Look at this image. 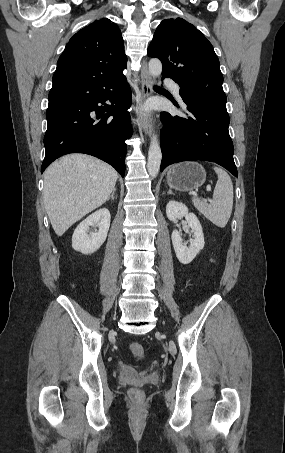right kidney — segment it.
<instances>
[{
	"instance_id": "1",
	"label": "right kidney",
	"mask_w": 285,
	"mask_h": 453,
	"mask_svg": "<svg viewBox=\"0 0 285 453\" xmlns=\"http://www.w3.org/2000/svg\"><path fill=\"white\" fill-rule=\"evenodd\" d=\"M110 212L102 208L89 215L75 229L72 236V248L83 254H92L105 242L110 227ZM90 227H98L89 232Z\"/></svg>"
}]
</instances>
